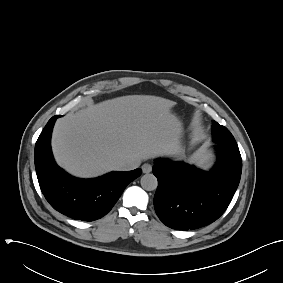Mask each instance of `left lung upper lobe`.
Here are the masks:
<instances>
[{"mask_svg":"<svg viewBox=\"0 0 283 283\" xmlns=\"http://www.w3.org/2000/svg\"><path fill=\"white\" fill-rule=\"evenodd\" d=\"M213 138L218 144H223L233 150H238L237 143L230 131L213 120Z\"/></svg>","mask_w":283,"mask_h":283,"instance_id":"left-lung-upper-lobe-1","label":"left lung upper lobe"}]
</instances>
